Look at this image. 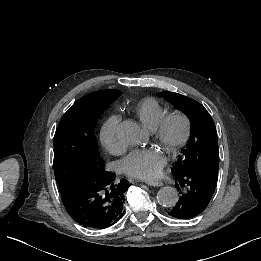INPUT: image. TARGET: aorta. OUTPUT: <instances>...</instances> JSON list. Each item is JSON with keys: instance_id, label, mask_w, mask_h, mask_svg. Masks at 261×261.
Listing matches in <instances>:
<instances>
[{"instance_id": "1", "label": "aorta", "mask_w": 261, "mask_h": 261, "mask_svg": "<svg viewBox=\"0 0 261 261\" xmlns=\"http://www.w3.org/2000/svg\"><path fill=\"white\" fill-rule=\"evenodd\" d=\"M118 140L128 146L138 145L144 138V132L134 121L126 120L119 124L117 129ZM157 201L163 207H173L176 205L179 194L171 187H162L157 193Z\"/></svg>"}]
</instances>
